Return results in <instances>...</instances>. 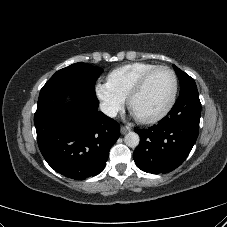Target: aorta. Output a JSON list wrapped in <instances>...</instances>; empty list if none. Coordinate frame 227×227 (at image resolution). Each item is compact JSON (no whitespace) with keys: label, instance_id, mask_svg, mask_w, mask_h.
I'll list each match as a JSON object with an SVG mask.
<instances>
[{"label":"aorta","instance_id":"obj_1","mask_svg":"<svg viewBox=\"0 0 227 227\" xmlns=\"http://www.w3.org/2000/svg\"><path fill=\"white\" fill-rule=\"evenodd\" d=\"M139 135L135 132H128L124 137V142L129 147H137L139 144Z\"/></svg>","mask_w":227,"mask_h":227}]
</instances>
